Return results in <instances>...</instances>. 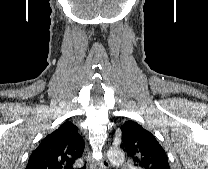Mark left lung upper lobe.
<instances>
[{
	"instance_id": "left-lung-upper-lobe-1",
	"label": "left lung upper lobe",
	"mask_w": 208,
	"mask_h": 169,
	"mask_svg": "<svg viewBox=\"0 0 208 169\" xmlns=\"http://www.w3.org/2000/svg\"><path fill=\"white\" fill-rule=\"evenodd\" d=\"M121 147L141 169H170L167 155L155 137L135 121L121 127Z\"/></svg>"
}]
</instances>
